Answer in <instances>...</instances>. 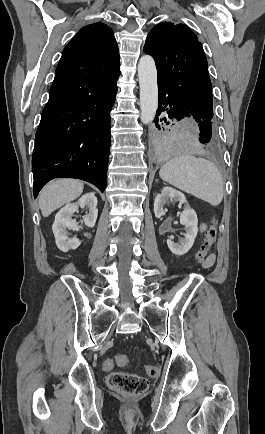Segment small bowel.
I'll return each instance as SVG.
<instances>
[{
  "label": "small bowel",
  "mask_w": 265,
  "mask_h": 434,
  "mask_svg": "<svg viewBox=\"0 0 265 434\" xmlns=\"http://www.w3.org/2000/svg\"><path fill=\"white\" fill-rule=\"evenodd\" d=\"M207 228H208L207 224L205 222H202L200 225L201 232H205L207 230ZM214 262H215V255L209 249L206 260L204 262V266L206 268H209V267L213 266ZM116 365H119V364L116 363L115 360L110 359V358H107L103 362V368L105 370H108V371L112 370ZM119 366H122V365H119Z\"/></svg>",
  "instance_id": "c3829d8e"
}]
</instances>
